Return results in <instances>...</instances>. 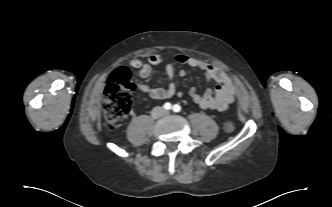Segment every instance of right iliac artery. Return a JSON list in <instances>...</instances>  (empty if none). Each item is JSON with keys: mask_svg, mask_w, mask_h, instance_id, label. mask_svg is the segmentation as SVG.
Instances as JSON below:
<instances>
[{"mask_svg": "<svg viewBox=\"0 0 332 207\" xmlns=\"http://www.w3.org/2000/svg\"><path fill=\"white\" fill-rule=\"evenodd\" d=\"M166 110H170L172 108L171 104L169 102L165 103L163 106Z\"/></svg>", "mask_w": 332, "mask_h": 207, "instance_id": "82829eb1", "label": "right iliac artery"}]
</instances>
